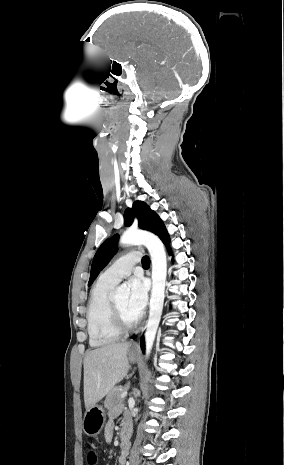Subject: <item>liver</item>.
Segmentation results:
<instances>
[{"label": "liver", "mask_w": 284, "mask_h": 465, "mask_svg": "<svg viewBox=\"0 0 284 465\" xmlns=\"http://www.w3.org/2000/svg\"><path fill=\"white\" fill-rule=\"evenodd\" d=\"M131 343H108L87 353L84 365L85 409L95 407L117 383L126 377Z\"/></svg>", "instance_id": "6515ba94"}]
</instances>
